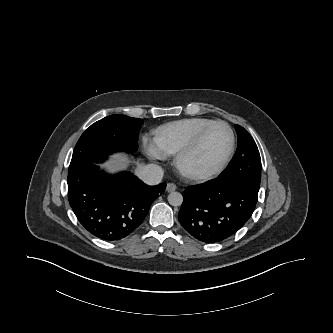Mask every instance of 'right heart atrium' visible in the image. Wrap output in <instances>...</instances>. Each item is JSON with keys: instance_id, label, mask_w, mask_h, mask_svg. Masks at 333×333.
<instances>
[{"instance_id": "d8ad5b80", "label": "right heart atrium", "mask_w": 333, "mask_h": 333, "mask_svg": "<svg viewBox=\"0 0 333 333\" xmlns=\"http://www.w3.org/2000/svg\"><path fill=\"white\" fill-rule=\"evenodd\" d=\"M145 149H146V153L148 154V156H150L151 158L154 159H160L163 157V155L156 149L155 146L150 145V144H146L145 145Z\"/></svg>"}]
</instances>
